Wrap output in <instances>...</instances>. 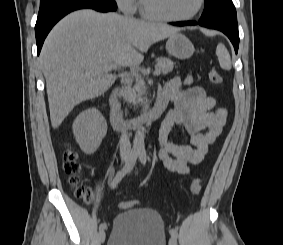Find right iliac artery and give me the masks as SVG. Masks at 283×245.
<instances>
[{"label": "right iliac artery", "mask_w": 283, "mask_h": 245, "mask_svg": "<svg viewBox=\"0 0 283 245\" xmlns=\"http://www.w3.org/2000/svg\"><path fill=\"white\" fill-rule=\"evenodd\" d=\"M138 156H139V150L133 149L130 153L129 159H128L127 163L125 164V166L114 177V179L111 183L112 189L116 188V186L124 178V176L132 171V169H133V167H134V165L137 161ZM106 227H107L106 223H102L100 225V230L106 229Z\"/></svg>", "instance_id": "1"}]
</instances>
